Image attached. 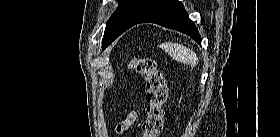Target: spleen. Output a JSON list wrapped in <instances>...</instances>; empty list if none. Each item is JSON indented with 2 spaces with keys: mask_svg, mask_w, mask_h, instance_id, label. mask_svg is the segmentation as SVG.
Instances as JSON below:
<instances>
[{
  "mask_svg": "<svg viewBox=\"0 0 280 137\" xmlns=\"http://www.w3.org/2000/svg\"><path fill=\"white\" fill-rule=\"evenodd\" d=\"M174 60L186 65L195 66L198 63L196 53L186 46L178 43L166 42L159 46Z\"/></svg>",
  "mask_w": 280,
  "mask_h": 137,
  "instance_id": "obj_1",
  "label": "spleen"
}]
</instances>
